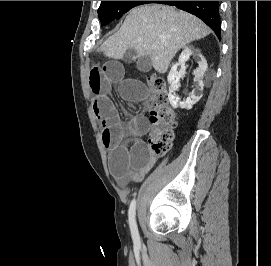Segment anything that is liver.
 <instances>
[{"label":"liver","mask_w":271,"mask_h":266,"mask_svg":"<svg viewBox=\"0 0 271 266\" xmlns=\"http://www.w3.org/2000/svg\"><path fill=\"white\" fill-rule=\"evenodd\" d=\"M210 32L192 14L168 5L148 4L132 9L120 30L103 43L101 50L106 57L116 60L134 50L137 57L148 56L154 69L164 74L181 48Z\"/></svg>","instance_id":"6515ba94"}]
</instances>
